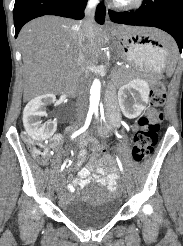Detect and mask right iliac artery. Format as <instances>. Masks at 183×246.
Here are the masks:
<instances>
[{
	"instance_id": "right-iliac-artery-1",
	"label": "right iliac artery",
	"mask_w": 183,
	"mask_h": 246,
	"mask_svg": "<svg viewBox=\"0 0 183 246\" xmlns=\"http://www.w3.org/2000/svg\"><path fill=\"white\" fill-rule=\"evenodd\" d=\"M93 110H89L88 114H87V118L85 121V124L82 128H80L79 130H77L76 132H74L71 136V138H75L77 137L79 134L83 133L84 131H86V129L89 127L91 119H92V115H93ZM67 161H65L61 167V171L65 168Z\"/></svg>"
}]
</instances>
